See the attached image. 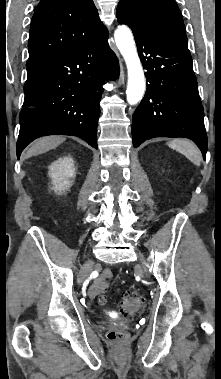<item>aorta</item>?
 Segmentation results:
<instances>
[{
  "mask_svg": "<svg viewBox=\"0 0 221 379\" xmlns=\"http://www.w3.org/2000/svg\"><path fill=\"white\" fill-rule=\"evenodd\" d=\"M116 45L122 54L128 70L127 101L130 105L137 104L145 92V77L130 29L119 26L114 33Z\"/></svg>",
  "mask_w": 221,
  "mask_h": 379,
  "instance_id": "obj_1",
  "label": "aorta"
}]
</instances>
